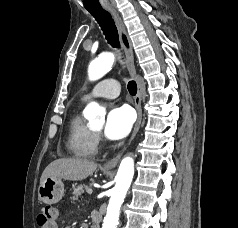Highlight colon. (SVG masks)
<instances>
[{
    "label": "colon",
    "mask_w": 238,
    "mask_h": 228,
    "mask_svg": "<svg viewBox=\"0 0 238 228\" xmlns=\"http://www.w3.org/2000/svg\"><path fill=\"white\" fill-rule=\"evenodd\" d=\"M59 211L56 206H45L41 208L37 223L40 228H49L58 218Z\"/></svg>",
    "instance_id": "obj_1"
}]
</instances>
